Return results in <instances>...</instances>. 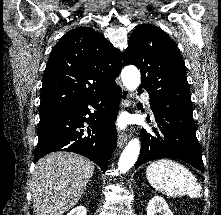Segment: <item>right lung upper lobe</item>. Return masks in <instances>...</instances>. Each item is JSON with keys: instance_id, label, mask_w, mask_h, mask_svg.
<instances>
[{"instance_id": "right-lung-upper-lobe-1", "label": "right lung upper lobe", "mask_w": 221, "mask_h": 215, "mask_svg": "<svg viewBox=\"0 0 221 215\" xmlns=\"http://www.w3.org/2000/svg\"><path fill=\"white\" fill-rule=\"evenodd\" d=\"M122 57L100 33L77 27L54 46L44 71L39 114L65 108L115 84Z\"/></svg>"}]
</instances>
